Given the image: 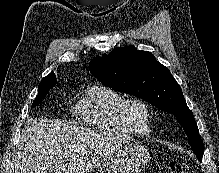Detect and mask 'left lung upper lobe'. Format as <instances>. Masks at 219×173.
<instances>
[{"mask_svg":"<svg viewBox=\"0 0 219 173\" xmlns=\"http://www.w3.org/2000/svg\"><path fill=\"white\" fill-rule=\"evenodd\" d=\"M89 69L105 86L145 99L158 109L172 113L183 127L193 152L202 159L203 141L182 89L152 53L134 46L116 48L108 55L93 58Z\"/></svg>","mask_w":219,"mask_h":173,"instance_id":"left-lung-upper-lobe-1","label":"left lung upper lobe"}]
</instances>
